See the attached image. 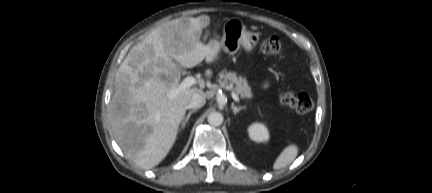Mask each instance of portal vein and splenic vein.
<instances>
[{"label":"portal vein and splenic vein","instance_id":"1","mask_svg":"<svg viewBox=\"0 0 432 193\" xmlns=\"http://www.w3.org/2000/svg\"><path fill=\"white\" fill-rule=\"evenodd\" d=\"M196 84H197L196 78L192 76H188L175 89L170 91L169 96L175 97L179 95L182 91ZM231 96L235 102H239V97L234 91L231 92Z\"/></svg>","mask_w":432,"mask_h":193}]
</instances>
